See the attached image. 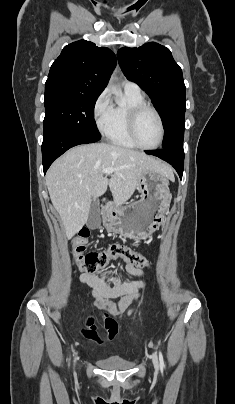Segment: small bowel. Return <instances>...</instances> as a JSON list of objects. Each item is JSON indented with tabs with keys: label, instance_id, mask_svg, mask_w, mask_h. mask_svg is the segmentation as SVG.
I'll return each instance as SVG.
<instances>
[{
	"label": "small bowel",
	"instance_id": "obj_1",
	"mask_svg": "<svg viewBox=\"0 0 235 404\" xmlns=\"http://www.w3.org/2000/svg\"><path fill=\"white\" fill-rule=\"evenodd\" d=\"M128 273L139 278L133 282H124L120 277L111 275H95L90 273H81L79 279L81 282L86 283L92 289V296L95 298V305L99 309L106 310L111 316L117 317L127 312L129 315L134 314L143 300L141 290L145 287V282L141 279L143 272L136 266L126 264ZM129 295L124 301L119 304H114L106 301L105 299L116 297L120 295ZM135 301L136 306L129 309V304ZM112 320V319H111ZM114 322V320H113ZM116 331V324L114 322L112 328ZM83 334L86 338L96 339L97 333L95 330H84Z\"/></svg>",
	"mask_w": 235,
	"mask_h": 404
}]
</instances>
